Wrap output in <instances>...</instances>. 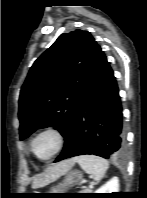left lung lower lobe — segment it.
<instances>
[{
	"label": "left lung lower lobe",
	"mask_w": 147,
	"mask_h": 198,
	"mask_svg": "<svg viewBox=\"0 0 147 198\" xmlns=\"http://www.w3.org/2000/svg\"><path fill=\"white\" fill-rule=\"evenodd\" d=\"M124 150L119 90L113 71L99 46L82 101L56 162L85 154L108 159L120 156Z\"/></svg>",
	"instance_id": "left-lung-lower-lobe-1"
}]
</instances>
